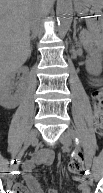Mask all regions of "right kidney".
<instances>
[{"instance_id":"1","label":"right kidney","mask_w":103,"mask_h":193,"mask_svg":"<svg viewBox=\"0 0 103 193\" xmlns=\"http://www.w3.org/2000/svg\"><path fill=\"white\" fill-rule=\"evenodd\" d=\"M27 73V69H18L17 72ZM15 72L9 75L0 77V105L6 109H14L19 104L18 94H12L11 89L15 86ZM22 82H19L18 87H22Z\"/></svg>"}]
</instances>
